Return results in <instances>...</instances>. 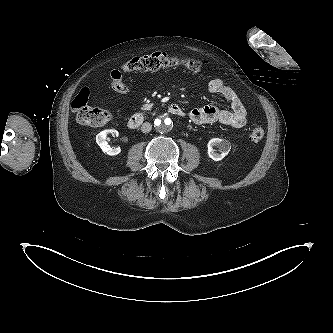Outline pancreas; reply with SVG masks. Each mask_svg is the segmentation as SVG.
<instances>
[{
  "label": "pancreas",
  "instance_id": "cf45deb5",
  "mask_svg": "<svg viewBox=\"0 0 333 333\" xmlns=\"http://www.w3.org/2000/svg\"><path fill=\"white\" fill-rule=\"evenodd\" d=\"M153 107V104L152 103H149V104H144L141 109L142 110H150L151 108Z\"/></svg>",
  "mask_w": 333,
  "mask_h": 333
}]
</instances>
